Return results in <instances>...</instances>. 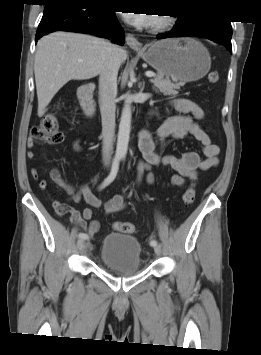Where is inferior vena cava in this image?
<instances>
[{"instance_id": "inferior-vena-cava-1", "label": "inferior vena cava", "mask_w": 261, "mask_h": 355, "mask_svg": "<svg viewBox=\"0 0 261 355\" xmlns=\"http://www.w3.org/2000/svg\"><path fill=\"white\" fill-rule=\"evenodd\" d=\"M120 67L118 47L108 44L99 77V106L102 117V153L104 163L110 162L115 139V97Z\"/></svg>"}]
</instances>
